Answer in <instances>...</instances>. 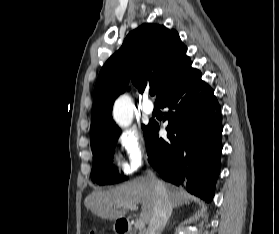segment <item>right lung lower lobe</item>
I'll return each mask as SVG.
<instances>
[{"label":"right lung lower lobe","instance_id":"98d812e1","mask_svg":"<svg viewBox=\"0 0 279 234\" xmlns=\"http://www.w3.org/2000/svg\"><path fill=\"white\" fill-rule=\"evenodd\" d=\"M190 68L159 99L169 110L167 140L158 137L159 124L150 123L146 137L149 162L166 181L211 201L220 173L221 111L212 88Z\"/></svg>","mask_w":279,"mask_h":234}]
</instances>
